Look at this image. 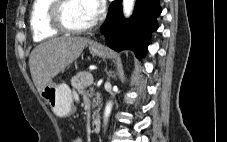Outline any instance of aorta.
Masks as SVG:
<instances>
[{"instance_id":"762f6f07","label":"aorta","mask_w":227,"mask_h":142,"mask_svg":"<svg viewBox=\"0 0 227 142\" xmlns=\"http://www.w3.org/2000/svg\"><path fill=\"white\" fill-rule=\"evenodd\" d=\"M135 0H123V12L126 17H129L133 12ZM112 109V103L108 102L105 107L104 120L107 121Z\"/></svg>"}]
</instances>
